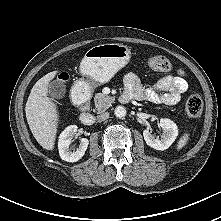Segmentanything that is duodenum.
<instances>
[{
	"label": "duodenum",
	"mask_w": 221,
	"mask_h": 221,
	"mask_svg": "<svg viewBox=\"0 0 221 221\" xmlns=\"http://www.w3.org/2000/svg\"><path fill=\"white\" fill-rule=\"evenodd\" d=\"M123 98H124V95L122 96V99ZM72 100L75 104L83 103L82 97L76 92L73 93ZM79 118L83 124H90L92 122V115L86 106L82 107Z\"/></svg>",
	"instance_id": "duodenum-1"
}]
</instances>
